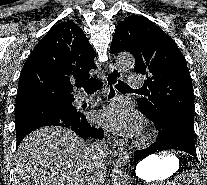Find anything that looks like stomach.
I'll return each mask as SVG.
<instances>
[{
	"label": "stomach",
	"mask_w": 207,
	"mask_h": 185,
	"mask_svg": "<svg viewBox=\"0 0 207 185\" xmlns=\"http://www.w3.org/2000/svg\"><path fill=\"white\" fill-rule=\"evenodd\" d=\"M179 169V159L174 155H152L136 167V175L146 181L164 180Z\"/></svg>",
	"instance_id": "obj_1"
}]
</instances>
